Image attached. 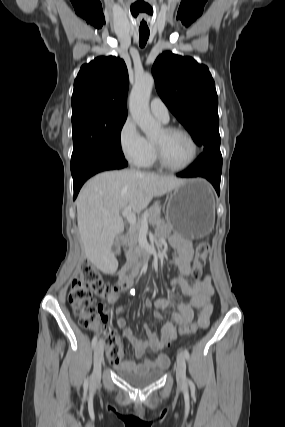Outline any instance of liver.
Segmentation results:
<instances>
[{"label":"liver","instance_id":"1","mask_svg":"<svg viewBox=\"0 0 285 427\" xmlns=\"http://www.w3.org/2000/svg\"><path fill=\"white\" fill-rule=\"evenodd\" d=\"M184 182L131 169L103 172L90 179L76 201L78 230L87 259L99 268L115 261L111 248L115 237L124 231L120 211L130 205L139 213L154 197Z\"/></svg>","mask_w":285,"mask_h":427}]
</instances>
